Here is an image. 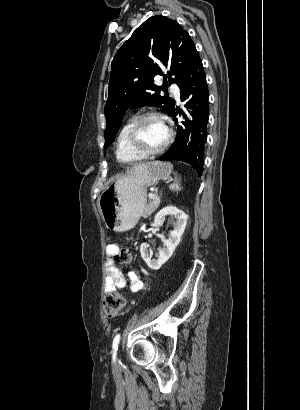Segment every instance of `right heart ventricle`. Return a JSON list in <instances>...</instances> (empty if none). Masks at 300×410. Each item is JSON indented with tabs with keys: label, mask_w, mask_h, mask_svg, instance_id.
<instances>
[{
	"label": "right heart ventricle",
	"mask_w": 300,
	"mask_h": 410,
	"mask_svg": "<svg viewBox=\"0 0 300 410\" xmlns=\"http://www.w3.org/2000/svg\"><path fill=\"white\" fill-rule=\"evenodd\" d=\"M135 120V117H130L121 127L116 139V157L124 163H136L142 161L144 157L134 152L127 141L128 130Z\"/></svg>",
	"instance_id": "1"
}]
</instances>
